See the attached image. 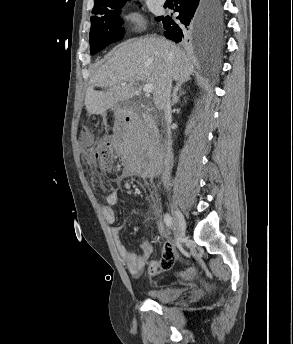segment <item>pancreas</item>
I'll list each match as a JSON object with an SVG mask.
<instances>
[{
  "mask_svg": "<svg viewBox=\"0 0 293 344\" xmlns=\"http://www.w3.org/2000/svg\"><path fill=\"white\" fill-rule=\"evenodd\" d=\"M131 133H132L131 136H132L133 138H136V139L142 138V136H143V134H144L143 130L140 129V128H138V129H136V130H132Z\"/></svg>",
  "mask_w": 293,
  "mask_h": 344,
  "instance_id": "pancreas-1",
  "label": "pancreas"
}]
</instances>
